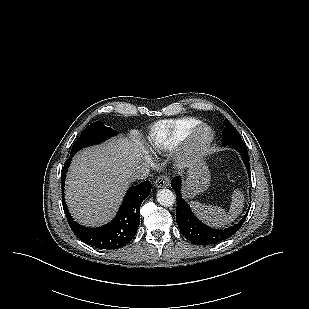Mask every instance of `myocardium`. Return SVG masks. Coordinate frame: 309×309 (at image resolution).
I'll use <instances>...</instances> for the list:
<instances>
[{
	"label": "myocardium",
	"mask_w": 309,
	"mask_h": 309,
	"mask_svg": "<svg viewBox=\"0 0 309 309\" xmlns=\"http://www.w3.org/2000/svg\"><path fill=\"white\" fill-rule=\"evenodd\" d=\"M207 130L208 136L206 139H200L199 134L201 131ZM215 138V132L211 126L205 123H200L196 125L189 133L187 139L184 143L183 149V160L189 161L196 157L197 155L201 154L202 152L206 151L211 144L213 143Z\"/></svg>",
	"instance_id": "myocardium-1"
}]
</instances>
